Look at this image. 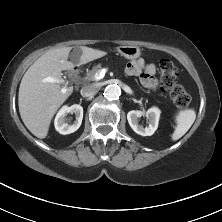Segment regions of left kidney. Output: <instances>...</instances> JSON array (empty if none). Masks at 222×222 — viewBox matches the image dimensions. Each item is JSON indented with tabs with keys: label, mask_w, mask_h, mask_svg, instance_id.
<instances>
[{
	"label": "left kidney",
	"mask_w": 222,
	"mask_h": 222,
	"mask_svg": "<svg viewBox=\"0 0 222 222\" xmlns=\"http://www.w3.org/2000/svg\"><path fill=\"white\" fill-rule=\"evenodd\" d=\"M160 113L161 111L157 107L148 109L146 113L140 110H132L128 112L127 120L134 132L142 136H151L158 127ZM145 114L149 119V126L144 128L139 124V118Z\"/></svg>",
	"instance_id": "5707ae66"
}]
</instances>
